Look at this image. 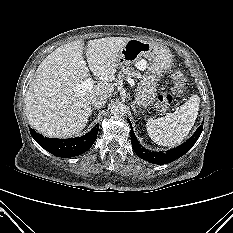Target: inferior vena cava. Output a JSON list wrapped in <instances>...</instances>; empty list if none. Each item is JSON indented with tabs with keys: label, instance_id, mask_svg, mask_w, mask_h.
Masks as SVG:
<instances>
[{
	"label": "inferior vena cava",
	"instance_id": "inferior-vena-cava-1",
	"mask_svg": "<svg viewBox=\"0 0 233 233\" xmlns=\"http://www.w3.org/2000/svg\"><path fill=\"white\" fill-rule=\"evenodd\" d=\"M107 98L105 96H95L91 103L94 105L96 108H100L106 104Z\"/></svg>",
	"mask_w": 233,
	"mask_h": 233
}]
</instances>
